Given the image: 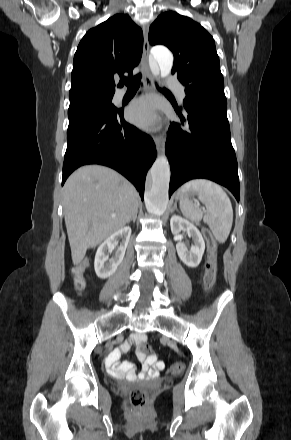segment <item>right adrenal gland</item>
Returning <instances> with one entry per match:
<instances>
[{
	"label": "right adrenal gland",
	"mask_w": 291,
	"mask_h": 440,
	"mask_svg": "<svg viewBox=\"0 0 291 440\" xmlns=\"http://www.w3.org/2000/svg\"><path fill=\"white\" fill-rule=\"evenodd\" d=\"M136 218H137V214H136V215L133 217V219H132L133 223L136 222Z\"/></svg>",
	"instance_id": "2a0ac1e0"
}]
</instances>
